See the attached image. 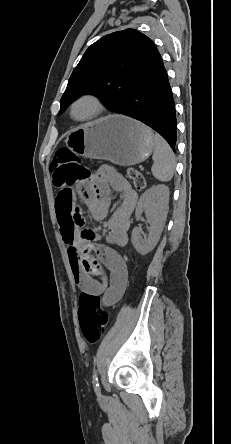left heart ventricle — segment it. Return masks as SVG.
Returning a JSON list of instances; mask_svg holds the SVG:
<instances>
[{"instance_id": "b2bd125f", "label": "left heart ventricle", "mask_w": 231, "mask_h": 444, "mask_svg": "<svg viewBox=\"0 0 231 444\" xmlns=\"http://www.w3.org/2000/svg\"><path fill=\"white\" fill-rule=\"evenodd\" d=\"M94 111V104L89 100L80 101L74 109V115L77 118L89 116Z\"/></svg>"}]
</instances>
